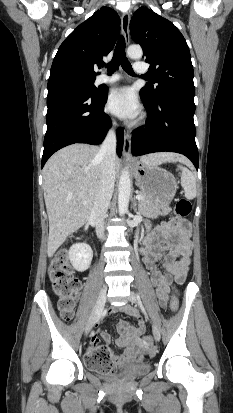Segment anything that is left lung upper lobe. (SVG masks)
<instances>
[{
    "instance_id": "1",
    "label": "left lung upper lobe",
    "mask_w": 233,
    "mask_h": 413,
    "mask_svg": "<svg viewBox=\"0 0 233 413\" xmlns=\"http://www.w3.org/2000/svg\"><path fill=\"white\" fill-rule=\"evenodd\" d=\"M130 31L133 40L142 46L145 61L151 64L148 73L152 82L158 84L155 87L146 84L141 95L151 102L166 95L194 101L193 66L180 31L170 21L144 7L134 13Z\"/></svg>"
}]
</instances>
